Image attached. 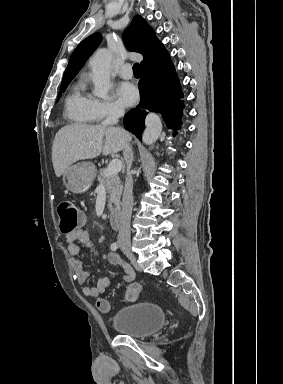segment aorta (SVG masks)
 I'll return each instance as SVG.
<instances>
[{
    "mask_svg": "<svg viewBox=\"0 0 283 384\" xmlns=\"http://www.w3.org/2000/svg\"><path fill=\"white\" fill-rule=\"evenodd\" d=\"M112 53L108 49H99L90 64L92 67V79L94 83V95L100 98H107L110 83V65ZM146 129L143 133V143L151 145L159 138L162 131V123L160 118L150 113L145 120Z\"/></svg>",
    "mask_w": 283,
    "mask_h": 384,
    "instance_id": "1",
    "label": "aorta"
}]
</instances>
